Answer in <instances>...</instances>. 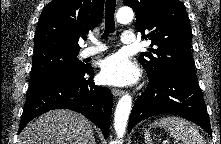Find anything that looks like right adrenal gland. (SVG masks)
<instances>
[{
	"label": "right adrenal gland",
	"instance_id": "right-adrenal-gland-1",
	"mask_svg": "<svg viewBox=\"0 0 221 144\" xmlns=\"http://www.w3.org/2000/svg\"><path fill=\"white\" fill-rule=\"evenodd\" d=\"M92 144H96V142H95V139H93V142H92Z\"/></svg>",
	"mask_w": 221,
	"mask_h": 144
}]
</instances>
